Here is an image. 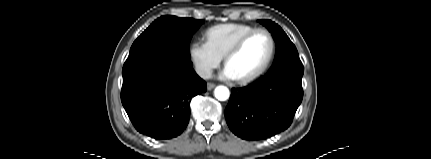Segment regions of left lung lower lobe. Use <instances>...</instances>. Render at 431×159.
I'll return each mask as SVG.
<instances>
[{"label": "left lung lower lobe", "instance_id": "obj_1", "mask_svg": "<svg viewBox=\"0 0 431 159\" xmlns=\"http://www.w3.org/2000/svg\"><path fill=\"white\" fill-rule=\"evenodd\" d=\"M304 67L270 70L256 82L233 88L225 118L244 140H264L286 130L303 98Z\"/></svg>", "mask_w": 431, "mask_h": 159}]
</instances>
